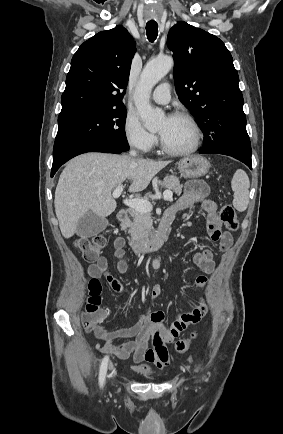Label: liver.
<instances>
[{
	"instance_id": "liver-1",
	"label": "liver",
	"mask_w": 283,
	"mask_h": 434,
	"mask_svg": "<svg viewBox=\"0 0 283 434\" xmlns=\"http://www.w3.org/2000/svg\"><path fill=\"white\" fill-rule=\"evenodd\" d=\"M169 163L107 153H86L72 159L55 190V212L63 237H72L89 211L103 218L114 212V188L129 180V192L143 191Z\"/></svg>"
}]
</instances>
